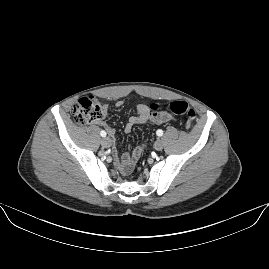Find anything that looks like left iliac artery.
Returning a JSON list of instances; mask_svg holds the SVG:
<instances>
[{
  "label": "left iliac artery",
  "mask_w": 269,
  "mask_h": 269,
  "mask_svg": "<svg viewBox=\"0 0 269 269\" xmlns=\"http://www.w3.org/2000/svg\"><path fill=\"white\" fill-rule=\"evenodd\" d=\"M156 134L158 136H162L163 135V131L161 129H158L157 132H156Z\"/></svg>",
  "instance_id": "obj_1"
}]
</instances>
